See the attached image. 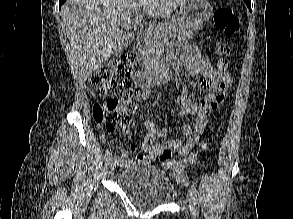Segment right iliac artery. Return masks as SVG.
<instances>
[{
  "mask_svg": "<svg viewBox=\"0 0 293 219\" xmlns=\"http://www.w3.org/2000/svg\"><path fill=\"white\" fill-rule=\"evenodd\" d=\"M104 158L106 161H109L112 159V155L108 150L106 151Z\"/></svg>",
  "mask_w": 293,
  "mask_h": 219,
  "instance_id": "1",
  "label": "right iliac artery"
}]
</instances>
